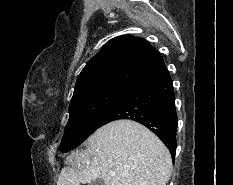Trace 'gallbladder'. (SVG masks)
I'll use <instances>...</instances> for the list:
<instances>
[{
	"label": "gallbladder",
	"mask_w": 233,
	"mask_h": 185,
	"mask_svg": "<svg viewBox=\"0 0 233 185\" xmlns=\"http://www.w3.org/2000/svg\"><path fill=\"white\" fill-rule=\"evenodd\" d=\"M89 185H104V181L102 178H98L97 180L91 182Z\"/></svg>",
	"instance_id": "gallbladder-1"
}]
</instances>
